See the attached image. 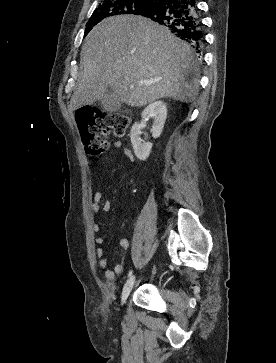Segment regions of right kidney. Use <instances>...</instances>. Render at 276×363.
<instances>
[{
    "instance_id": "right-kidney-1",
    "label": "right kidney",
    "mask_w": 276,
    "mask_h": 363,
    "mask_svg": "<svg viewBox=\"0 0 276 363\" xmlns=\"http://www.w3.org/2000/svg\"><path fill=\"white\" fill-rule=\"evenodd\" d=\"M141 116L143 119L154 118L152 136L153 138L160 137L167 116L166 104L162 101L153 102L143 110ZM141 127L139 123H134L131 128L130 138L136 157L141 161H145L151 152L153 144L141 139Z\"/></svg>"
}]
</instances>
